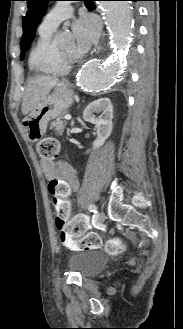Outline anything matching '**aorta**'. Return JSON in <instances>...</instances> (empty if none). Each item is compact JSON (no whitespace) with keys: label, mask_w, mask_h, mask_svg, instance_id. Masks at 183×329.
I'll return each mask as SVG.
<instances>
[{"label":"aorta","mask_w":183,"mask_h":329,"mask_svg":"<svg viewBox=\"0 0 183 329\" xmlns=\"http://www.w3.org/2000/svg\"><path fill=\"white\" fill-rule=\"evenodd\" d=\"M111 39L117 50L124 49L132 34V10L129 1L100 2ZM61 39V36H58ZM120 57H108L105 62L93 61L80 71L77 81L84 91L98 92L109 90L114 77L121 67Z\"/></svg>","instance_id":"762f6f07"}]
</instances>
